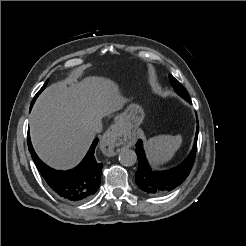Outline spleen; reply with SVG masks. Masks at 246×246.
<instances>
[{
  "label": "spleen",
  "mask_w": 246,
  "mask_h": 246,
  "mask_svg": "<svg viewBox=\"0 0 246 246\" xmlns=\"http://www.w3.org/2000/svg\"><path fill=\"white\" fill-rule=\"evenodd\" d=\"M182 144L181 135H159L145 143V149L150 162L161 166L169 162Z\"/></svg>",
  "instance_id": "spleen-1"
}]
</instances>
